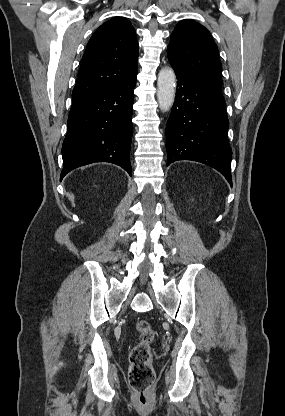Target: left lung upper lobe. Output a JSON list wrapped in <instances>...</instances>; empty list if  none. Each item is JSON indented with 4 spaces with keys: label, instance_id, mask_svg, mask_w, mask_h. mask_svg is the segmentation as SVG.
Listing matches in <instances>:
<instances>
[{
    "label": "left lung upper lobe",
    "instance_id": "5c2ea615",
    "mask_svg": "<svg viewBox=\"0 0 285 416\" xmlns=\"http://www.w3.org/2000/svg\"><path fill=\"white\" fill-rule=\"evenodd\" d=\"M167 55L177 73L221 91L222 65L217 45L204 26L192 20L179 22L171 34Z\"/></svg>",
    "mask_w": 285,
    "mask_h": 416
}]
</instances>
